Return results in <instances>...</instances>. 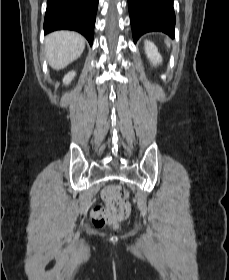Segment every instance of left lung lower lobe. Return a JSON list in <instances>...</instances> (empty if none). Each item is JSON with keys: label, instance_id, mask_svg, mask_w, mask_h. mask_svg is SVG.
<instances>
[{"label": "left lung lower lobe", "instance_id": "1", "mask_svg": "<svg viewBox=\"0 0 229 280\" xmlns=\"http://www.w3.org/2000/svg\"><path fill=\"white\" fill-rule=\"evenodd\" d=\"M133 39L147 32L161 31L174 38L173 0H128Z\"/></svg>", "mask_w": 229, "mask_h": 280}]
</instances>
